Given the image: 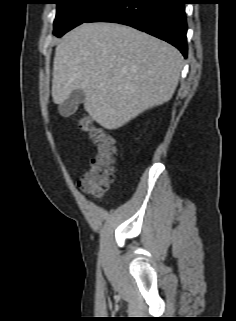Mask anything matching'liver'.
<instances>
[{"instance_id": "6515ba94", "label": "liver", "mask_w": 236, "mask_h": 321, "mask_svg": "<svg viewBox=\"0 0 236 321\" xmlns=\"http://www.w3.org/2000/svg\"><path fill=\"white\" fill-rule=\"evenodd\" d=\"M182 67V54L165 41L117 23H83L56 47L52 98L60 105L82 89L92 119L117 129L169 101Z\"/></svg>"}]
</instances>
